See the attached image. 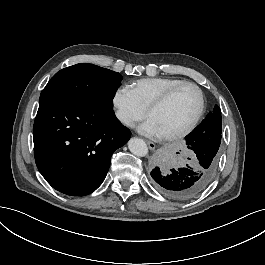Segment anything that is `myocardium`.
Masks as SVG:
<instances>
[{
	"label": "myocardium",
	"instance_id": "obj_1",
	"mask_svg": "<svg viewBox=\"0 0 265 265\" xmlns=\"http://www.w3.org/2000/svg\"><path fill=\"white\" fill-rule=\"evenodd\" d=\"M186 87L194 88L198 94L199 107H198L197 113H196L195 117L193 118V120L184 129H182L181 131L176 132L174 134L162 137L163 140H165V141H174V140L182 139V138L188 136L197 127V125L201 121V119L204 115V112H205L206 101H205V95H204L203 90L197 84L190 82V81H185V82L175 86L174 88L169 90L167 93H165L158 101H156L147 110V117H149L151 113H153V112L163 108L165 105H167L170 102V100L176 94H178L182 89H184Z\"/></svg>",
	"mask_w": 265,
	"mask_h": 265
}]
</instances>
